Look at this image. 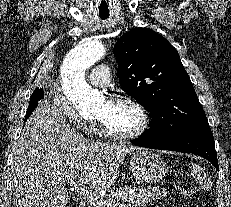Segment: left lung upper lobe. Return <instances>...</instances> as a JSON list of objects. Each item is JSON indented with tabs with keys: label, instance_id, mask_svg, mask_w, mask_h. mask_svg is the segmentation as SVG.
<instances>
[{
	"label": "left lung upper lobe",
	"instance_id": "1",
	"mask_svg": "<svg viewBox=\"0 0 231 207\" xmlns=\"http://www.w3.org/2000/svg\"><path fill=\"white\" fill-rule=\"evenodd\" d=\"M121 88L144 106L151 128L141 136L166 142L210 129L189 75L176 49L153 30L135 28L115 44Z\"/></svg>",
	"mask_w": 231,
	"mask_h": 207
}]
</instances>
